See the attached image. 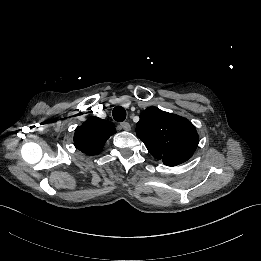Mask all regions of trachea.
<instances>
[{"mask_svg":"<svg viewBox=\"0 0 261 261\" xmlns=\"http://www.w3.org/2000/svg\"><path fill=\"white\" fill-rule=\"evenodd\" d=\"M112 114H113V118L117 122H123L126 119V110L121 106H116L113 109Z\"/></svg>","mask_w":261,"mask_h":261,"instance_id":"trachea-1","label":"trachea"}]
</instances>
